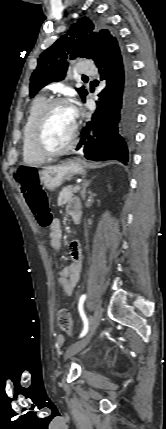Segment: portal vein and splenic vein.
Returning a JSON list of instances; mask_svg holds the SVG:
<instances>
[{
	"instance_id": "1",
	"label": "portal vein and splenic vein",
	"mask_w": 166,
	"mask_h": 429,
	"mask_svg": "<svg viewBox=\"0 0 166 429\" xmlns=\"http://www.w3.org/2000/svg\"><path fill=\"white\" fill-rule=\"evenodd\" d=\"M80 190V186L79 185H77V186H75L74 187V189H73V192L74 193H76L77 191H79Z\"/></svg>"
}]
</instances>
